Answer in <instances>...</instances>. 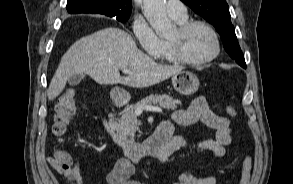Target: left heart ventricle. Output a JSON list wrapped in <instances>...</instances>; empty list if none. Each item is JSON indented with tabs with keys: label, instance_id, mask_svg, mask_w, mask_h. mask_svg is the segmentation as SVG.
<instances>
[{
	"label": "left heart ventricle",
	"instance_id": "b2bd125f",
	"mask_svg": "<svg viewBox=\"0 0 293 184\" xmlns=\"http://www.w3.org/2000/svg\"><path fill=\"white\" fill-rule=\"evenodd\" d=\"M176 30L170 38L176 37ZM184 54L191 59H202L214 52L215 42L212 34L202 26L191 29L182 40Z\"/></svg>",
	"mask_w": 293,
	"mask_h": 184
}]
</instances>
